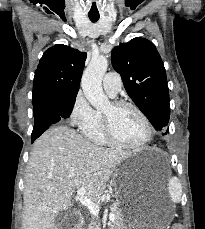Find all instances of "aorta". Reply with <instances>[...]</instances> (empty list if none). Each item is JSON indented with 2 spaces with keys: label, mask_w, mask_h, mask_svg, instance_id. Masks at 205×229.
I'll use <instances>...</instances> for the list:
<instances>
[{
  "label": "aorta",
  "mask_w": 205,
  "mask_h": 229,
  "mask_svg": "<svg viewBox=\"0 0 205 229\" xmlns=\"http://www.w3.org/2000/svg\"><path fill=\"white\" fill-rule=\"evenodd\" d=\"M107 67L108 61L104 56H94L85 69L81 80L85 97L97 109L103 108L109 103V99L102 89V78ZM95 229H101L100 225H97Z\"/></svg>",
  "instance_id": "762f6f07"
}]
</instances>
